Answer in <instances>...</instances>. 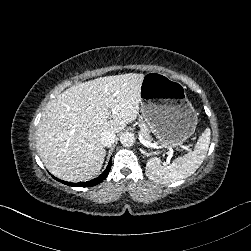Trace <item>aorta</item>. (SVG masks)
Here are the masks:
<instances>
[{
	"label": "aorta",
	"instance_id": "1",
	"mask_svg": "<svg viewBox=\"0 0 251 251\" xmlns=\"http://www.w3.org/2000/svg\"><path fill=\"white\" fill-rule=\"evenodd\" d=\"M120 142L125 147L132 146L135 142L134 134L129 132L123 133L120 136Z\"/></svg>",
	"mask_w": 251,
	"mask_h": 251
}]
</instances>
